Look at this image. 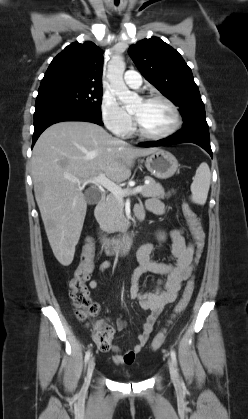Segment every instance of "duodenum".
Wrapping results in <instances>:
<instances>
[{"label":"duodenum","mask_w":248,"mask_h":419,"mask_svg":"<svg viewBox=\"0 0 248 419\" xmlns=\"http://www.w3.org/2000/svg\"><path fill=\"white\" fill-rule=\"evenodd\" d=\"M106 203V195L104 192L101 193L100 199L96 204L94 210V224L96 231L99 235L100 243L102 249L106 255H116L127 252L132 243L136 234V230H131L122 234L119 237H108L105 234L104 229L102 228V217L104 212V207ZM144 217V209L141 206H138L135 210V218L137 220H142Z\"/></svg>","instance_id":"duodenum-1"}]
</instances>
